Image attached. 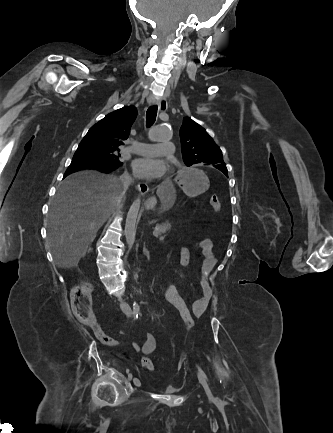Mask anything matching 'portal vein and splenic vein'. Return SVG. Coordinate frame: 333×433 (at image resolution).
<instances>
[{
    "label": "portal vein and splenic vein",
    "mask_w": 333,
    "mask_h": 433,
    "mask_svg": "<svg viewBox=\"0 0 333 433\" xmlns=\"http://www.w3.org/2000/svg\"><path fill=\"white\" fill-rule=\"evenodd\" d=\"M153 235H154V236H157V233H156L155 231H153ZM159 240H160V241L164 240V237H159Z\"/></svg>",
    "instance_id": "1"
}]
</instances>
